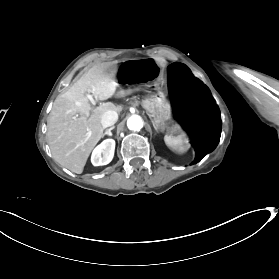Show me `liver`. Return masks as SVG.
Returning <instances> with one entry per match:
<instances>
[{
  "mask_svg": "<svg viewBox=\"0 0 279 279\" xmlns=\"http://www.w3.org/2000/svg\"><path fill=\"white\" fill-rule=\"evenodd\" d=\"M115 69L91 68L68 91L59 94L47 118V142L56 162L81 174L86 161L102 138L101 118L108 110H117L112 102L92 108L86 92L99 100L115 93Z\"/></svg>",
  "mask_w": 279,
  "mask_h": 279,
  "instance_id": "6515ba94",
  "label": "liver"
}]
</instances>
